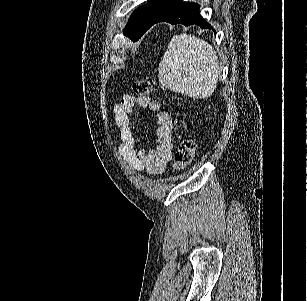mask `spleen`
Instances as JSON below:
<instances>
[{"label":"spleen","mask_w":307,"mask_h":301,"mask_svg":"<svg viewBox=\"0 0 307 301\" xmlns=\"http://www.w3.org/2000/svg\"><path fill=\"white\" fill-rule=\"evenodd\" d=\"M218 74V56L211 44L186 32L172 36L158 66L162 86L191 98L211 96Z\"/></svg>","instance_id":"spleen-1"}]
</instances>
